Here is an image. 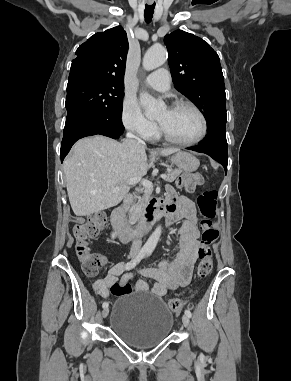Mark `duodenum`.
I'll return each mask as SVG.
<instances>
[{"instance_id": "obj_1", "label": "duodenum", "mask_w": 291, "mask_h": 381, "mask_svg": "<svg viewBox=\"0 0 291 381\" xmlns=\"http://www.w3.org/2000/svg\"><path fill=\"white\" fill-rule=\"evenodd\" d=\"M133 198L126 195L123 202L116 207L111 215V222L114 230L119 235L122 242L127 243L135 239L142 238L152 227V225L164 214L166 206L164 201H151L145 208L141 222L135 226H130L124 218L125 212L131 205Z\"/></svg>"}]
</instances>
